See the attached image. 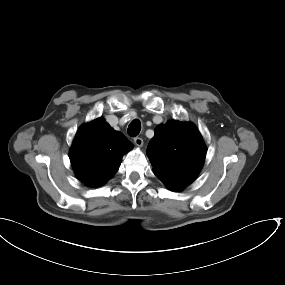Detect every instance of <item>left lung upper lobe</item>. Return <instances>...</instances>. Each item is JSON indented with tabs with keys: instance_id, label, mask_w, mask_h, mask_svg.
<instances>
[{
	"instance_id": "1",
	"label": "left lung upper lobe",
	"mask_w": 285,
	"mask_h": 285,
	"mask_svg": "<svg viewBox=\"0 0 285 285\" xmlns=\"http://www.w3.org/2000/svg\"><path fill=\"white\" fill-rule=\"evenodd\" d=\"M154 174L163 182L190 184L206 156L199 131L190 123L168 121L155 128L146 151Z\"/></svg>"
}]
</instances>
